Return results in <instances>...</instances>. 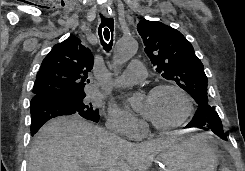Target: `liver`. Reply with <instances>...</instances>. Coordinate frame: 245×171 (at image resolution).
Instances as JSON below:
<instances>
[{"label":"liver","instance_id":"liver-1","mask_svg":"<svg viewBox=\"0 0 245 171\" xmlns=\"http://www.w3.org/2000/svg\"><path fill=\"white\" fill-rule=\"evenodd\" d=\"M168 133L131 143L78 116L47 122L36 134L28 171H147L156 154L179 140Z\"/></svg>","mask_w":245,"mask_h":171}]
</instances>
